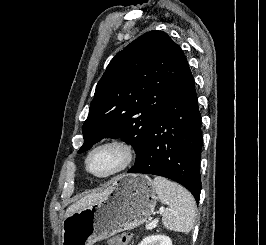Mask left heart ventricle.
I'll use <instances>...</instances> for the list:
<instances>
[{"label":"left heart ventricle","mask_w":266,"mask_h":245,"mask_svg":"<svg viewBox=\"0 0 266 245\" xmlns=\"http://www.w3.org/2000/svg\"><path fill=\"white\" fill-rule=\"evenodd\" d=\"M121 148L108 145L97 149L88 161L89 170L96 175H107L116 171L123 163Z\"/></svg>","instance_id":"left-heart-ventricle-1"}]
</instances>
